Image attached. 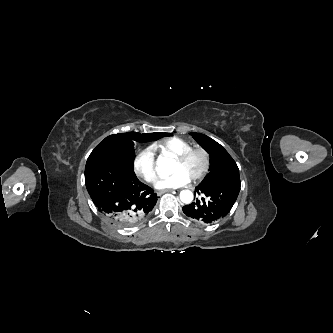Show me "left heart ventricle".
<instances>
[{"label":"left heart ventricle","instance_id":"b2bd125f","mask_svg":"<svg viewBox=\"0 0 333 333\" xmlns=\"http://www.w3.org/2000/svg\"><path fill=\"white\" fill-rule=\"evenodd\" d=\"M203 167V158L200 154H193L185 163H174V172L183 171L190 179L195 177Z\"/></svg>","mask_w":333,"mask_h":333}]
</instances>
